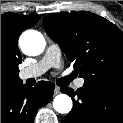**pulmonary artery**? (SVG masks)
Here are the masks:
<instances>
[{
	"mask_svg": "<svg viewBox=\"0 0 123 123\" xmlns=\"http://www.w3.org/2000/svg\"><path fill=\"white\" fill-rule=\"evenodd\" d=\"M61 50L60 47L52 43L50 44L44 56L35 64L23 69L20 72V78L25 80L42 75L50 68L60 67ZM75 85L77 88H81L84 85V79L79 78L76 80Z\"/></svg>",
	"mask_w": 123,
	"mask_h": 123,
	"instance_id": "obj_1",
	"label": "pulmonary artery"
}]
</instances>
